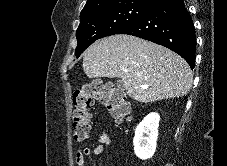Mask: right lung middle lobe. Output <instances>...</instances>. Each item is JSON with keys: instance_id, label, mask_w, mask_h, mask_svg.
<instances>
[{"instance_id": "obj_1", "label": "right lung middle lobe", "mask_w": 227, "mask_h": 166, "mask_svg": "<svg viewBox=\"0 0 227 166\" xmlns=\"http://www.w3.org/2000/svg\"><path fill=\"white\" fill-rule=\"evenodd\" d=\"M153 6L130 2L108 6L80 15V24L76 32L78 45L75 55L80 54L94 41L129 27L146 15Z\"/></svg>"}]
</instances>
